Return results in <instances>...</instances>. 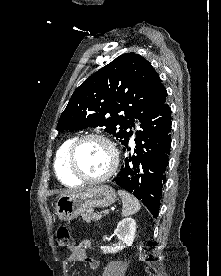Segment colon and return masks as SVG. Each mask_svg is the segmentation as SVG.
<instances>
[{
    "label": "colon",
    "instance_id": "5ec220e1",
    "mask_svg": "<svg viewBox=\"0 0 221 276\" xmlns=\"http://www.w3.org/2000/svg\"><path fill=\"white\" fill-rule=\"evenodd\" d=\"M57 244L60 247H64V248H72L73 245V239L71 236L70 231L68 230L67 227L65 226H61L58 231H57Z\"/></svg>",
    "mask_w": 221,
    "mask_h": 276
}]
</instances>
